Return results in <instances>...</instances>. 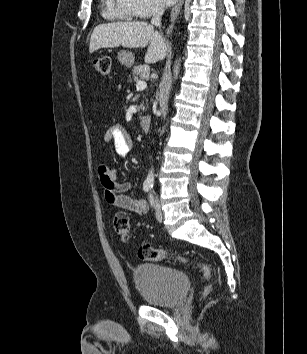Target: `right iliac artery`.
Instances as JSON below:
<instances>
[{"mask_svg": "<svg viewBox=\"0 0 307 354\" xmlns=\"http://www.w3.org/2000/svg\"><path fill=\"white\" fill-rule=\"evenodd\" d=\"M151 187H152V185H150V184H144V185H143V190H144L145 192H148V191L151 189Z\"/></svg>", "mask_w": 307, "mask_h": 354, "instance_id": "right-iliac-artery-1", "label": "right iliac artery"}]
</instances>
